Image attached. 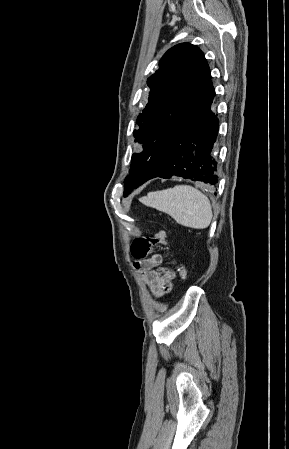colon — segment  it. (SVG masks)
Returning a JSON list of instances; mask_svg holds the SVG:
<instances>
[{
    "label": "colon",
    "mask_w": 289,
    "mask_h": 449,
    "mask_svg": "<svg viewBox=\"0 0 289 449\" xmlns=\"http://www.w3.org/2000/svg\"><path fill=\"white\" fill-rule=\"evenodd\" d=\"M167 234L164 230H159L153 236H142L134 239L131 245V252L134 258L143 259L152 254L154 246L166 244ZM176 272L182 280L188 278V272L185 267L177 266Z\"/></svg>",
    "instance_id": "1"
}]
</instances>
